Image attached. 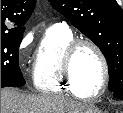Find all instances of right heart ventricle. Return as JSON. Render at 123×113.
I'll return each mask as SVG.
<instances>
[{
    "mask_svg": "<svg viewBox=\"0 0 123 113\" xmlns=\"http://www.w3.org/2000/svg\"><path fill=\"white\" fill-rule=\"evenodd\" d=\"M75 35L66 26L54 25L44 33L33 64V85L42 93H62L82 95L72 90L64 77L62 64L67 47L75 40Z\"/></svg>",
    "mask_w": 123,
    "mask_h": 113,
    "instance_id": "obj_1",
    "label": "right heart ventricle"
}]
</instances>
